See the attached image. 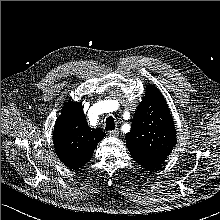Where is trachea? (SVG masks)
Returning <instances> with one entry per match:
<instances>
[{"instance_id":"1","label":"trachea","mask_w":220,"mask_h":220,"mask_svg":"<svg viewBox=\"0 0 220 220\" xmlns=\"http://www.w3.org/2000/svg\"><path fill=\"white\" fill-rule=\"evenodd\" d=\"M115 129V122H114V118L112 116H109L106 119V127L105 130L109 131V130H114Z\"/></svg>"}]
</instances>
